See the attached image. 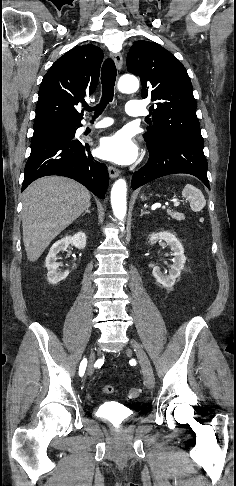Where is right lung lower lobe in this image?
<instances>
[{
  "mask_svg": "<svg viewBox=\"0 0 236 486\" xmlns=\"http://www.w3.org/2000/svg\"><path fill=\"white\" fill-rule=\"evenodd\" d=\"M75 126L74 134L35 135L31 140V154L24 170L22 191L34 180L60 175L75 179L97 197L104 199L108 187V171L105 164L95 161L90 145L74 139L81 122H68Z\"/></svg>",
  "mask_w": 236,
  "mask_h": 486,
  "instance_id": "obj_1",
  "label": "right lung lower lobe"
}]
</instances>
